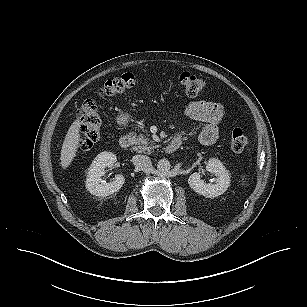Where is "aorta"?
I'll return each mask as SVG.
<instances>
[{"mask_svg":"<svg viewBox=\"0 0 307 307\" xmlns=\"http://www.w3.org/2000/svg\"><path fill=\"white\" fill-rule=\"evenodd\" d=\"M170 162L167 159H161L157 163V168L160 172H168L170 170Z\"/></svg>","mask_w":307,"mask_h":307,"instance_id":"obj_1","label":"aorta"}]
</instances>
